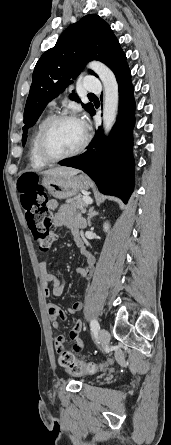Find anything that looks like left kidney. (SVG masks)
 Here are the masks:
<instances>
[{
	"label": "left kidney",
	"mask_w": 171,
	"mask_h": 445,
	"mask_svg": "<svg viewBox=\"0 0 171 445\" xmlns=\"http://www.w3.org/2000/svg\"><path fill=\"white\" fill-rule=\"evenodd\" d=\"M103 228H104V232H106V233L109 232V228H110L109 223H104Z\"/></svg>",
	"instance_id": "obj_1"
}]
</instances>
